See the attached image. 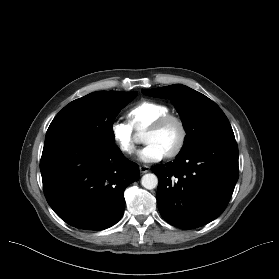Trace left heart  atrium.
I'll return each mask as SVG.
<instances>
[{"mask_svg":"<svg viewBox=\"0 0 279 279\" xmlns=\"http://www.w3.org/2000/svg\"><path fill=\"white\" fill-rule=\"evenodd\" d=\"M165 152L156 144L148 143L139 151L138 157L145 162H156L161 160L165 156Z\"/></svg>","mask_w":279,"mask_h":279,"instance_id":"1","label":"left heart atrium"}]
</instances>
